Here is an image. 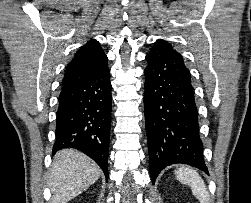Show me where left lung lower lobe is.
<instances>
[{"instance_id": "0a47b994", "label": "left lung lower lobe", "mask_w": 251, "mask_h": 203, "mask_svg": "<svg viewBox=\"0 0 251 203\" xmlns=\"http://www.w3.org/2000/svg\"><path fill=\"white\" fill-rule=\"evenodd\" d=\"M146 60L144 106L152 183L162 169L176 163L208 173L191 75L182 55L160 39Z\"/></svg>"}]
</instances>
